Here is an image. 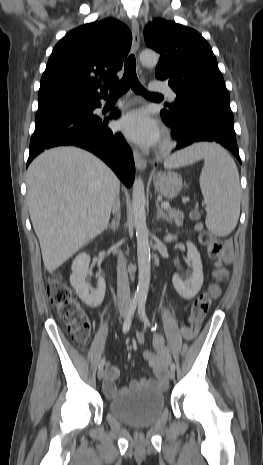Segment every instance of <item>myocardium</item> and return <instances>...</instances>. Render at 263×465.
<instances>
[{
  "instance_id": "myocardium-1",
  "label": "myocardium",
  "mask_w": 263,
  "mask_h": 465,
  "mask_svg": "<svg viewBox=\"0 0 263 465\" xmlns=\"http://www.w3.org/2000/svg\"><path fill=\"white\" fill-rule=\"evenodd\" d=\"M171 147H172V140L169 135H165L159 144V150L160 152L164 153V152L169 151Z\"/></svg>"
}]
</instances>
